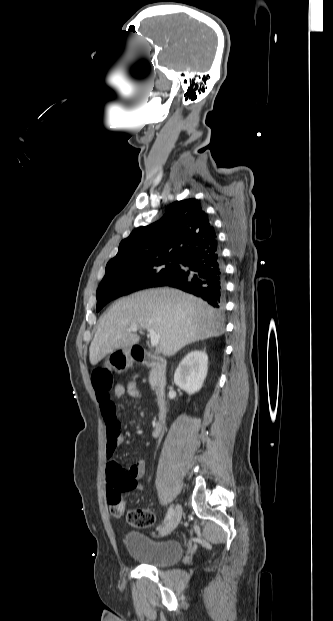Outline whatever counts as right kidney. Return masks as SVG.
Instances as JSON below:
<instances>
[{
  "label": "right kidney",
  "mask_w": 333,
  "mask_h": 621,
  "mask_svg": "<svg viewBox=\"0 0 333 621\" xmlns=\"http://www.w3.org/2000/svg\"><path fill=\"white\" fill-rule=\"evenodd\" d=\"M208 371V356L205 351L194 350L188 353L179 363L174 382L188 394L198 392Z\"/></svg>",
  "instance_id": "right-kidney-1"
}]
</instances>
